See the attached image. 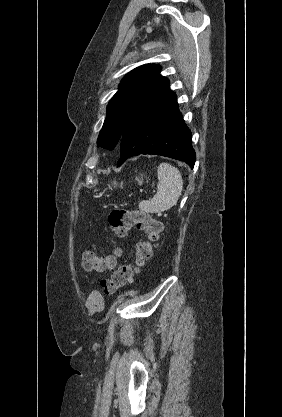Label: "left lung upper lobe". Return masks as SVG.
<instances>
[{"mask_svg":"<svg viewBox=\"0 0 282 417\" xmlns=\"http://www.w3.org/2000/svg\"><path fill=\"white\" fill-rule=\"evenodd\" d=\"M160 71L159 65L147 64L125 75L118 92L107 106V116L97 141L98 147L113 150L119 144L131 113L165 79L160 75Z\"/></svg>","mask_w":282,"mask_h":417,"instance_id":"left-lung-upper-lobe-1","label":"left lung upper lobe"}]
</instances>
